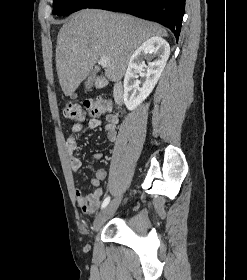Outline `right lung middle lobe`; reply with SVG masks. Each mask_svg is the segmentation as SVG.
<instances>
[{
    "label": "right lung middle lobe",
    "instance_id": "right-lung-middle-lobe-1",
    "mask_svg": "<svg viewBox=\"0 0 247 280\" xmlns=\"http://www.w3.org/2000/svg\"><path fill=\"white\" fill-rule=\"evenodd\" d=\"M98 0H54L53 14L64 16L88 8Z\"/></svg>",
    "mask_w": 247,
    "mask_h": 280
}]
</instances>
